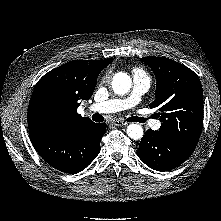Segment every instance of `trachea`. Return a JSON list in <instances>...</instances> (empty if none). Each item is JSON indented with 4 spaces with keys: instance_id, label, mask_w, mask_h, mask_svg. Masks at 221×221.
Masks as SVG:
<instances>
[{
    "instance_id": "obj_1",
    "label": "trachea",
    "mask_w": 221,
    "mask_h": 221,
    "mask_svg": "<svg viewBox=\"0 0 221 221\" xmlns=\"http://www.w3.org/2000/svg\"><path fill=\"white\" fill-rule=\"evenodd\" d=\"M92 119L96 122H102L104 120L103 116L98 114V113H95L93 116H92ZM128 122H139V123H144V118L142 117H136V116H133V117H129L127 119Z\"/></svg>"
}]
</instances>
